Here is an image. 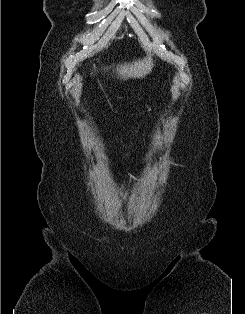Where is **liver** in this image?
Wrapping results in <instances>:
<instances>
[{
	"label": "liver",
	"instance_id": "obj_1",
	"mask_svg": "<svg viewBox=\"0 0 245 314\" xmlns=\"http://www.w3.org/2000/svg\"><path fill=\"white\" fill-rule=\"evenodd\" d=\"M154 64L152 58L138 59L132 63L117 65L116 73L121 79L143 78L152 71Z\"/></svg>",
	"mask_w": 245,
	"mask_h": 314
}]
</instances>
